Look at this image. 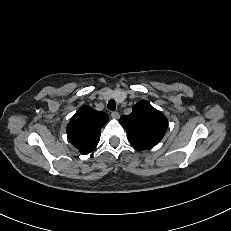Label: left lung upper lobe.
I'll return each mask as SVG.
<instances>
[{
    "instance_id": "obj_1",
    "label": "left lung upper lobe",
    "mask_w": 231,
    "mask_h": 231,
    "mask_svg": "<svg viewBox=\"0 0 231 231\" xmlns=\"http://www.w3.org/2000/svg\"><path fill=\"white\" fill-rule=\"evenodd\" d=\"M120 123L127 131L130 144L138 149L156 145L168 127L166 117L145 100L137 103L131 114L122 116Z\"/></svg>"
}]
</instances>
